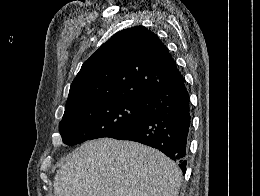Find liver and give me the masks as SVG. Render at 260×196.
<instances>
[{
	"label": "liver",
	"instance_id": "6515ba94",
	"mask_svg": "<svg viewBox=\"0 0 260 196\" xmlns=\"http://www.w3.org/2000/svg\"><path fill=\"white\" fill-rule=\"evenodd\" d=\"M181 176L179 166L159 150L99 138L66 158L54 196H178Z\"/></svg>",
	"mask_w": 260,
	"mask_h": 196
}]
</instances>
